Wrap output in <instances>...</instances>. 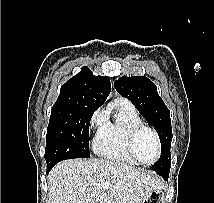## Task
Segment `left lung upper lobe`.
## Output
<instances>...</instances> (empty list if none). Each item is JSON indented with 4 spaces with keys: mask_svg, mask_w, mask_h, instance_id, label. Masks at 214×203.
Here are the masks:
<instances>
[{
    "mask_svg": "<svg viewBox=\"0 0 214 203\" xmlns=\"http://www.w3.org/2000/svg\"><path fill=\"white\" fill-rule=\"evenodd\" d=\"M117 92L129 99L149 125L157 131L161 142V156L152 166L157 174L169 173L172 128L170 111L157 92L156 85L144 76H123L114 82Z\"/></svg>",
    "mask_w": 214,
    "mask_h": 203,
    "instance_id": "1",
    "label": "left lung upper lobe"
}]
</instances>
